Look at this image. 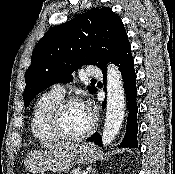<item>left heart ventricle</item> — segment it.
I'll return each mask as SVG.
<instances>
[{
	"instance_id": "1",
	"label": "left heart ventricle",
	"mask_w": 175,
	"mask_h": 174,
	"mask_svg": "<svg viewBox=\"0 0 175 174\" xmlns=\"http://www.w3.org/2000/svg\"><path fill=\"white\" fill-rule=\"evenodd\" d=\"M86 106L83 104H71L67 106L60 117V126L63 132L69 135H77L84 132L91 124Z\"/></svg>"
}]
</instances>
